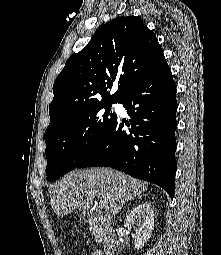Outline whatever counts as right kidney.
<instances>
[{
    "mask_svg": "<svg viewBox=\"0 0 221 255\" xmlns=\"http://www.w3.org/2000/svg\"><path fill=\"white\" fill-rule=\"evenodd\" d=\"M125 226L135 229V249H141L154 229V211L149 203L139 204L125 219Z\"/></svg>",
    "mask_w": 221,
    "mask_h": 255,
    "instance_id": "1",
    "label": "right kidney"
}]
</instances>
